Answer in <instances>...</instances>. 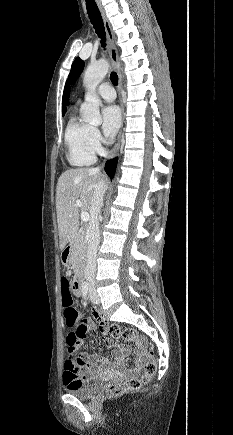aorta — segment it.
Wrapping results in <instances>:
<instances>
[{"label":"aorta","mask_w":233,"mask_h":435,"mask_svg":"<svg viewBox=\"0 0 233 435\" xmlns=\"http://www.w3.org/2000/svg\"><path fill=\"white\" fill-rule=\"evenodd\" d=\"M109 70V63L105 60L90 65L84 72L83 83L87 94L85 102L82 104L80 112L84 122L98 126L102 119L100 116V100L96 95V88L104 79Z\"/></svg>","instance_id":"762f6f07"}]
</instances>
